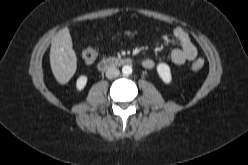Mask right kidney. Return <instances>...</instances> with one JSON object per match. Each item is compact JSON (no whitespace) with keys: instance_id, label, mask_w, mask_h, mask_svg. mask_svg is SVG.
Here are the masks:
<instances>
[{"instance_id":"1","label":"right kidney","mask_w":248,"mask_h":165,"mask_svg":"<svg viewBox=\"0 0 248 165\" xmlns=\"http://www.w3.org/2000/svg\"><path fill=\"white\" fill-rule=\"evenodd\" d=\"M87 84V77L82 75L80 76L77 81H76V88L78 91H81L84 89V87L86 86Z\"/></svg>"}]
</instances>
